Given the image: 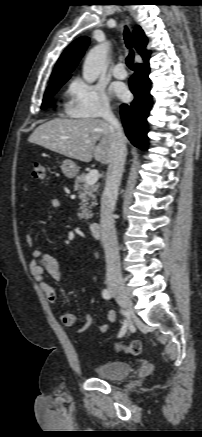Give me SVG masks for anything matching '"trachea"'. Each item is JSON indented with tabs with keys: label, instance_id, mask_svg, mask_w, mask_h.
<instances>
[{
	"label": "trachea",
	"instance_id": "trachea-1",
	"mask_svg": "<svg viewBox=\"0 0 202 437\" xmlns=\"http://www.w3.org/2000/svg\"><path fill=\"white\" fill-rule=\"evenodd\" d=\"M124 39H125L126 47L130 50L126 58V65L128 66L129 69L133 70V66H134V52L132 50L133 44H132V38L130 32L127 27H125L124 29Z\"/></svg>",
	"mask_w": 202,
	"mask_h": 437
}]
</instances>
